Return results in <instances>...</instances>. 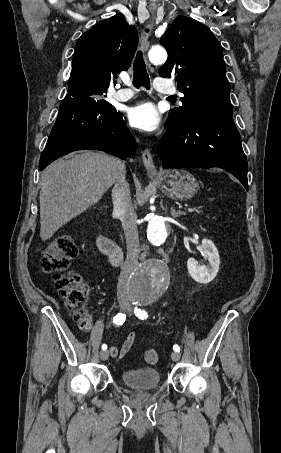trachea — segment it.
Instances as JSON below:
<instances>
[{"mask_svg": "<svg viewBox=\"0 0 281 453\" xmlns=\"http://www.w3.org/2000/svg\"><path fill=\"white\" fill-rule=\"evenodd\" d=\"M149 30L147 29L146 32ZM133 85L136 88L146 87L150 88V80L146 70V65L143 60L142 52H137L133 64Z\"/></svg>", "mask_w": 281, "mask_h": 453, "instance_id": "obj_1", "label": "trachea"}]
</instances>
